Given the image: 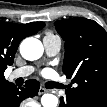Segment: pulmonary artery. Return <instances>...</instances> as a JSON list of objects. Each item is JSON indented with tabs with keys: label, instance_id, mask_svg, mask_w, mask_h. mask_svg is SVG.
<instances>
[{
	"label": "pulmonary artery",
	"instance_id": "e3ab8cb5",
	"mask_svg": "<svg viewBox=\"0 0 107 107\" xmlns=\"http://www.w3.org/2000/svg\"><path fill=\"white\" fill-rule=\"evenodd\" d=\"M43 45L48 56L52 57L59 53L61 48V40L58 36L47 35L43 38ZM34 71L32 66H24L14 70L10 78H24L29 76Z\"/></svg>",
	"mask_w": 107,
	"mask_h": 107
}]
</instances>
